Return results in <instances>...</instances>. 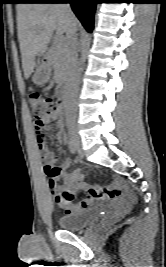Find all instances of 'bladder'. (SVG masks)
Here are the masks:
<instances>
[{"label": "bladder", "mask_w": 166, "mask_h": 267, "mask_svg": "<svg viewBox=\"0 0 166 267\" xmlns=\"http://www.w3.org/2000/svg\"><path fill=\"white\" fill-rule=\"evenodd\" d=\"M98 218L99 213L97 209H87L61 216L58 224L63 230L73 231L95 222Z\"/></svg>", "instance_id": "bladder-1"}]
</instances>
